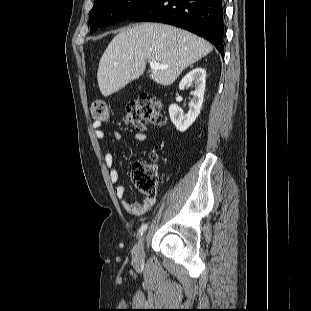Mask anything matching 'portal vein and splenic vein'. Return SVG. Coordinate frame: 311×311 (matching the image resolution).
Segmentation results:
<instances>
[{
    "label": "portal vein and splenic vein",
    "instance_id": "18ae733b",
    "mask_svg": "<svg viewBox=\"0 0 311 311\" xmlns=\"http://www.w3.org/2000/svg\"><path fill=\"white\" fill-rule=\"evenodd\" d=\"M150 67L153 71H157V70H160V69H167L168 66L167 65H160L159 63H157L156 61H151L150 62Z\"/></svg>",
    "mask_w": 311,
    "mask_h": 311
}]
</instances>
